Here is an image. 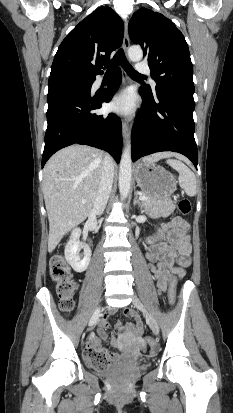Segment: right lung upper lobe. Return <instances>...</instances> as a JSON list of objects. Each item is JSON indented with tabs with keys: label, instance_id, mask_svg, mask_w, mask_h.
Returning <instances> with one entry per match:
<instances>
[{
	"label": "right lung upper lobe",
	"instance_id": "1",
	"mask_svg": "<svg viewBox=\"0 0 233 413\" xmlns=\"http://www.w3.org/2000/svg\"><path fill=\"white\" fill-rule=\"evenodd\" d=\"M124 24L109 7H99L62 41L54 57L49 81L91 78L101 74L102 64L123 41Z\"/></svg>",
	"mask_w": 233,
	"mask_h": 413
}]
</instances>
